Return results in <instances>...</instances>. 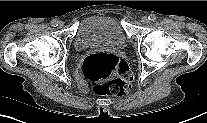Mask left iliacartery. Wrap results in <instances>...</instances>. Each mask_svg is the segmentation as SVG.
I'll return each instance as SVG.
<instances>
[{"label":"left iliac artery","instance_id":"left-iliac-artery-1","mask_svg":"<svg viewBox=\"0 0 207 123\" xmlns=\"http://www.w3.org/2000/svg\"><path fill=\"white\" fill-rule=\"evenodd\" d=\"M148 19H149L150 21H155V20L157 19V17H156L155 14H150L149 17H148Z\"/></svg>","mask_w":207,"mask_h":123}]
</instances>
